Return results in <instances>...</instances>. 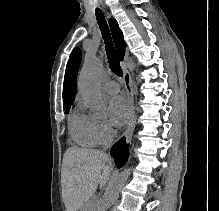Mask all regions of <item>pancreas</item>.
<instances>
[{
    "label": "pancreas",
    "mask_w": 219,
    "mask_h": 211,
    "mask_svg": "<svg viewBox=\"0 0 219 211\" xmlns=\"http://www.w3.org/2000/svg\"><path fill=\"white\" fill-rule=\"evenodd\" d=\"M84 207V211H99L100 207H98L97 203L94 200H87Z\"/></svg>",
    "instance_id": "cf45deb5"
}]
</instances>
